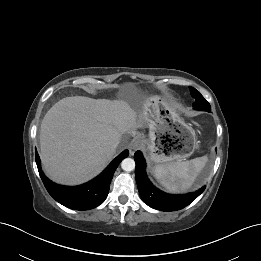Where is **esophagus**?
Masks as SVG:
<instances>
[{"label":"esophagus","mask_w":261,"mask_h":261,"mask_svg":"<svg viewBox=\"0 0 261 261\" xmlns=\"http://www.w3.org/2000/svg\"><path fill=\"white\" fill-rule=\"evenodd\" d=\"M143 145V142L141 139L139 138H135L132 142H131V145H130V152L133 154L134 151L140 149Z\"/></svg>","instance_id":"esophagus-1"}]
</instances>
